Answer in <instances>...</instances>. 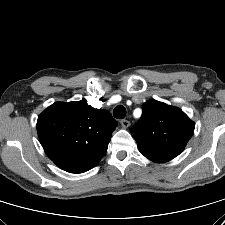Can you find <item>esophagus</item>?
Returning a JSON list of instances; mask_svg holds the SVG:
<instances>
[{
  "label": "esophagus",
  "mask_w": 225,
  "mask_h": 225,
  "mask_svg": "<svg viewBox=\"0 0 225 225\" xmlns=\"http://www.w3.org/2000/svg\"><path fill=\"white\" fill-rule=\"evenodd\" d=\"M120 123H121V125H122L123 128H128L131 125L130 121L129 120H126V119H122L120 121Z\"/></svg>",
  "instance_id": "1"
}]
</instances>
